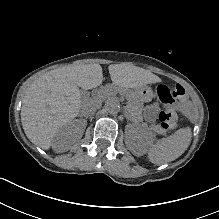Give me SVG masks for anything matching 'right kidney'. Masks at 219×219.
Segmentation results:
<instances>
[{"label": "right kidney", "instance_id": "obj_1", "mask_svg": "<svg viewBox=\"0 0 219 219\" xmlns=\"http://www.w3.org/2000/svg\"><path fill=\"white\" fill-rule=\"evenodd\" d=\"M73 129H75L76 132H79L80 130L79 126L73 123L71 125H66L64 128L54 133L53 138H52V144H51V148L54 152L63 153L69 149V146L65 142L68 135L74 136L76 138L81 137L82 133H80L79 135H76ZM83 131L84 130L82 128V132Z\"/></svg>", "mask_w": 219, "mask_h": 219}]
</instances>
